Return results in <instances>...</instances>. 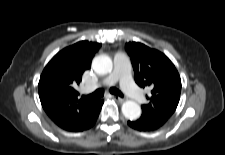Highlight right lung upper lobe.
<instances>
[{
    "mask_svg": "<svg viewBox=\"0 0 225 155\" xmlns=\"http://www.w3.org/2000/svg\"><path fill=\"white\" fill-rule=\"evenodd\" d=\"M99 47V43L88 41L75 43L58 52L42 72L38 84L42 107L64 130L81 131L95 109L98 99L78 98L75 87Z\"/></svg>",
    "mask_w": 225,
    "mask_h": 155,
    "instance_id": "right-lung-upper-lobe-1",
    "label": "right lung upper lobe"
}]
</instances>
